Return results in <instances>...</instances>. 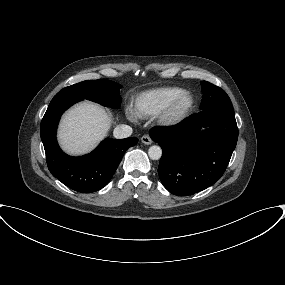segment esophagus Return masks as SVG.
<instances>
[{
  "mask_svg": "<svg viewBox=\"0 0 285 285\" xmlns=\"http://www.w3.org/2000/svg\"><path fill=\"white\" fill-rule=\"evenodd\" d=\"M141 142L143 144L150 145V144H152V139L150 138L149 135H144L141 137Z\"/></svg>",
  "mask_w": 285,
  "mask_h": 285,
  "instance_id": "esophagus-1",
  "label": "esophagus"
}]
</instances>
